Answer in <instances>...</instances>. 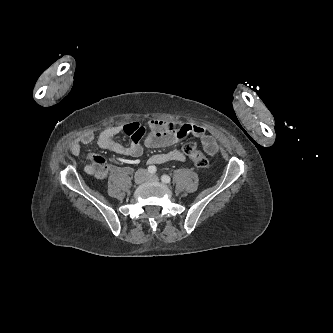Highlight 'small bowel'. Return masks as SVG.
I'll return each instance as SVG.
<instances>
[{
	"instance_id": "small-bowel-1",
	"label": "small bowel",
	"mask_w": 333,
	"mask_h": 333,
	"mask_svg": "<svg viewBox=\"0 0 333 333\" xmlns=\"http://www.w3.org/2000/svg\"><path fill=\"white\" fill-rule=\"evenodd\" d=\"M124 132L131 139L129 145H123L116 141L115 137ZM194 135L201 140L204 152L211 156L217 151V145L212 136L206 133L205 129L198 124L165 121L152 119L147 127L141 126L139 122H131L123 126H112L101 131L97 138L98 145L116 154L139 157L143 153L141 139L144 137V145L149 148L165 147ZM95 140L92 132H87L73 140L70 144V151L73 155L80 154L82 146L89 145ZM197 154L204 155L201 151ZM191 159L193 157L189 156ZM185 154L179 149H173L165 153L155 154L150 157V164H163L169 161H183ZM86 172L96 178H103L107 173L105 161L98 156H91L90 164L86 166Z\"/></svg>"
}]
</instances>
